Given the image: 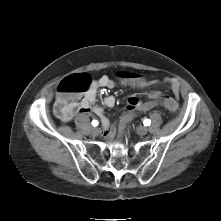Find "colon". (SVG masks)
I'll use <instances>...</instances> for the list:
<instances>
[{"mask_svg":"<svg viewBox=\"0 0 221 221\" xmlns=\"http://www.w3.org/2000/svg\"><path fill=\"white\" fill-rule=\"evenodd\" d=\"M114 79L119 83H125L128 87L136 88L140 91H147L151 88V81L144 76L134 74L132 71L125 69H117L114 72ZM92 85V78L89 74L82 73L72 75L60 82L57 88V97L54 111L56 116L68 121L72 117V104L77 96L81 93L87 92ZM172 111L173 116L180 114V105L169 96L157 95L150 102L146 101L136 105L127 113L120 117L116 127L117 135H125L127 126L135 121L136 117L161 107Z\"/></svg>","mask_w":221,"mask_h":221,"instance_id":"5ec220e1","label":"colon"}]
</instances>
